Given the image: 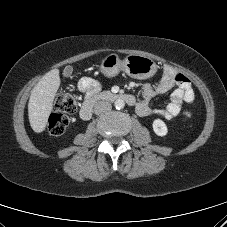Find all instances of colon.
<instances>
[{
    "mask_svg": "<svg viewBox=\"0 0 227 227\" xmlns=\"http://www.w3.org/2000/svg\"><path fill=\"white\" fill-rule=\"evenodd\" d=\"M77 97L71 93L60 92L54 102V113L48 119V132L58 136L65 132L69 119L68 115L76 111Z\"/></svg>",
    "mask_w": 227,
    "mask_h": 227,
    "instance_id": "colon-1",
    "label": "colon"
}]
</instances>
